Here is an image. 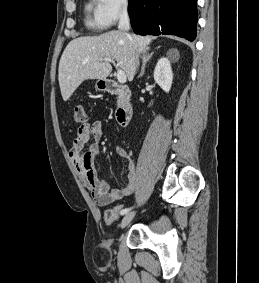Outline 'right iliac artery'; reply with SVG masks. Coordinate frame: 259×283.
<instances>
[{
	"instance_id": "obj_1",
	"label": "right iliac artery",
	"mask_w": 259,
	"mask_h": 283,
	"mask_svg": "<svg viewBox=\"0 0 259 283\" xmlns=\"http://www.w3.org/2000/svg\"><path fill=\"white\" fill-rule=\"evenodd\" d=\"M132 209H133V207L123 209V210L121 211V215H124V214L128 213V212H129L130 210H132Z\"/></svg>"
}]
</instances>
